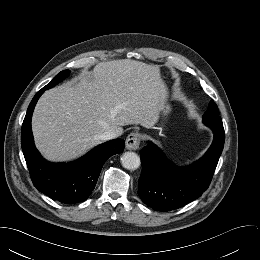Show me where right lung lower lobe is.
Wrapping results in <instances>:
<instances>
[{
	"label": "right lung lower lobe",
	"mask_w": 260,
	"mask_h": 260,
	"mask_svg": "<svg viewBox=\"0 0 260 260\" xmlns=\"http://www.w3.org/2000/svg\"><path fill=\"white\" fill-rule=\"evenodd\" d=\"M42 88L32 99L21 130V146L34 186L45 195L65 204L86 200L95 188L105 161L122 153L125 142L115 139L99 145L80 159L55 164L42 158L33 142L31 117Z\"/></svg>",
	"instance_id": "98d812e1"
}]
</instances>
